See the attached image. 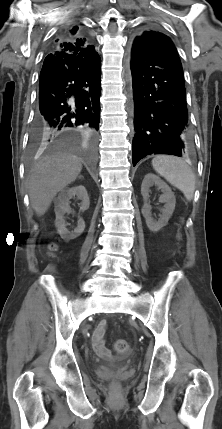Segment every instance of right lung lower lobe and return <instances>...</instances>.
<instances>
[{"label": "right lung lower lobe", "mask_w": 222, "mask_h": 429, "mask_svg": "<svg viewBox=\"0 0 222 429\" xmlns=\"http://www.w3.org/2000/svg\"><path fill=\"white\" fill-rule=\"evenodd\" d=\"M101 60L94 56L78 59L53 51L43 62L39 79V104L33 132L53 139L69 131L93 135L99 127Z\"/></svg>", "instance_id": "right-lung-lower-lobe-1"}]
</instances>
